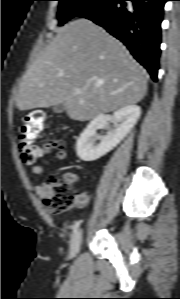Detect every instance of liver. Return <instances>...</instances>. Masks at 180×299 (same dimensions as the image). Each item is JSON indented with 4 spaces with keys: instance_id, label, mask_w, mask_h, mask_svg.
Segmentation results:
<instances>
[{
    "instance_id": "liver-1",
    "label": "liver",
    "mask_w": 180,
    "mask_h": 299,
    "mask_svg": "<svg viewBox=\"0 0 180 299\" xmlns=\"http://www.w3.org/2000/svg\"><path fill=\"white\" fill-rule=\"evenodd\" d=\"M145 75L119 40L78 19L58 29L27 70L16 105L25 111L63 104L71 119L87 121L140 102L147 91Z\"/></svg>"
}]
</instances>
